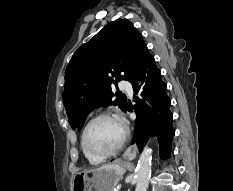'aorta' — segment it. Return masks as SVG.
<instances>
[{
    "mask_svg": "<svg viewBox=\"0 0 233 191\" xmlns=\"http://www.w3.org/2000/svg\"><path fill=\"white\" fill-rule=\"evenodd\" d=\"M152 150L145 147L140 155L136 167V189L135 191H147L151 175Z\"/></svg>",
    "mask_w": 233,
    "mask_h": 191,
    "instance_id": "1",
    "label": "aorta"
}]
</instances>
